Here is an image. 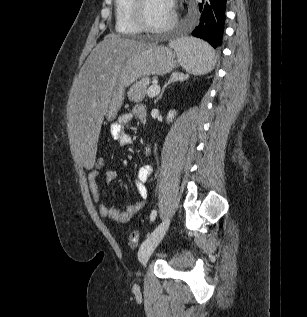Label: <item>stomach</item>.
Listing matches in <instances>:
<instances>
[{
    "instance_id": "0dacf381",
    "label": "stomach",
    "mask_w": 307,
    "mask_h": 317,
    "mask_svg": "<svg viewBox=\"0 0 307 317\" xmlns=\"http://www.w3.org/2000/svg\"><path fill=\"white\" fill-rule=\"evenodd\" d=\"M175 53L163 45H149L131 54L122 64L108 101L106 117L113 120L122 106L126 87L137 79L170 73L177 66Z\"/></svg>"
}]
</instances>
